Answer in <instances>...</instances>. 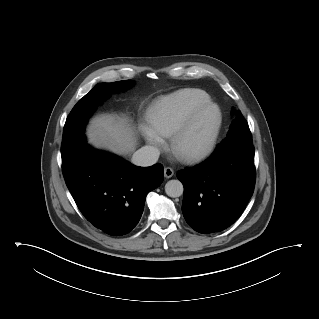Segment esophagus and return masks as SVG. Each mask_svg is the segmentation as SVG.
Returning <instances> with one entry per match:
<instances>
[{
  "mask_svg": "<svg viewBox=\"0 0 319 319\" xmlns=\"http://www.w3.org/2000/svg\"><path fill=\"white\" fill-rule=\"evenodd\" d=\"M173 175H174V171H173L172 168H170V167H165L164 168V176L166 178H171Z\"/></svg>",
  "mask_w": 319,
  "mask_h": 319,
  "instance_id": "esophagus-1",
  "label": "esophagus"
}]
</instances>
